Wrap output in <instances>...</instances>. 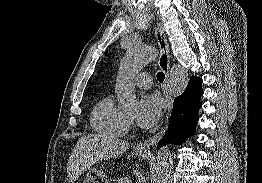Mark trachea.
<instances>
[{
    "label": "trachea",
    "mask_w": 262,
    "mask_h": 183,
    "mask_svg": "<svg viewBox=\"0 0 262 183\" xmlns=\"http://www.w3.org/2000/svg\"><path fill=\"white\" fill-rule=\"evenodd\" d=\"M164 78H165V74L163 72H158L157 73V79L159 82H163L164 81Z\"/></svg>",
    "instance_id": "obj_1"
}]
</instances>
